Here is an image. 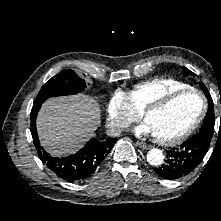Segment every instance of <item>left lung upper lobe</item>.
<instances>
[{"instance_id":"5c2ea615","label":"left lung upper lobe","mask_w":221,"mask_h":221,"mask_svg":"<svg viewBox=\"0 0 221 221\" xmlns=\"http://www.w3.org/2000/svg\"><path fill=\"white\" fill-rule=\"evenodd\" d=\"M185 70L188 71L190 74L195 75L193 72H191L187 68H185ZM200 85L206 97L208 98V113L204 118V122L202 124L199 134H201V136L207 137L208 143L210 144L211 138L214 133V125H215L214 104L206 86L203 83H200Z\"/></svg>"}]
</instances>
